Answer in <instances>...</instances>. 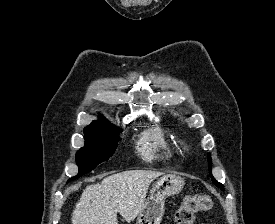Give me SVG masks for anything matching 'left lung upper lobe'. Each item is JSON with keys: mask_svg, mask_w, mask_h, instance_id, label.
I'll list each match as a JSON object with an SVG mask.
<instances>
[{"mask_svg": "<svg viewBox=\"0 0 275 224\" xmlns=\"http://www.w3.org/2000/svg\"><path fill=\"white\" fill-rule=\"evenodd\" d=\"M209 160H210V161H209V165H210V169H211L212 162H211V159H209ZM210 176L212 177L213 183H214L217 187H219V188H221V189L223 190V189H224L223 185H222L221 183H219L218 181H216V180L213 178V176H212L211 173H210Z\"/></svg>", "mask_w": 275, "mask_h": 224, "instance_id": "obj_1", "label": "left lung upper lobe"}]
</instances>
